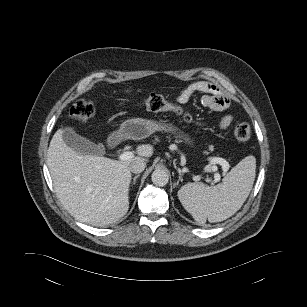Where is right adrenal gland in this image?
Listing matches in <instances>:
<instances>
[{"label":"right adrenal gland","instance_id":"2a0ac1e0","mask_svg":"<svg viewBox=\"0 0 307 307\" xmlns=\"http://www.w3.org/2000/svg\"><path fill=\"white\" fill-rule=\"evenodd\" d=\"M139 177V174L138 175H136L134 178H133V184H135V182H136V179Z\"/></svg>","mask_w":307,"mask_h":307}]
</instances>
